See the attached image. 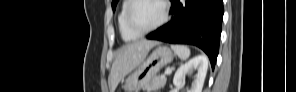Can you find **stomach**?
<instances>
[{"label": "stomach", "instance_id": "stomach-1", "mask_svg": "<svg viewBox=\"0 0 296 92\" xmlns=\"http://www.w3.org/2000/svg\"><path fill=\"white\" fill-rule=\"evenodd\" d=\"M173 52L166 46H158L149 57L127 78L125 92H139L157 73L172 62Z\"/></svg>", "mask_w": 296, "mask_h": 92}]
</instances>
